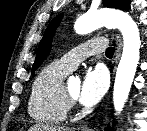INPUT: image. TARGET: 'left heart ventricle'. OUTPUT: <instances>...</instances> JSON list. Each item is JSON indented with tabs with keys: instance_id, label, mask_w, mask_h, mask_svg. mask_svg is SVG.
I'll list each match as a JSON object with an SVG mask.
<instances>
[{
	"instance_id": "b2bd125f",
	"label": "left heart ventricle",
	"mask_w": 147,
	"mask_h": 131,
	"mask_svg": "<svg viewBox=\"0 0 147 131\" xmlns=\"http://www.w3.org/2000/svg\"><path fill=\"white\" fill-rule=\"evenodd\" d=\"M80 82L78 80H72L66 84L68 91L72 96L75 98L78 97L79 90H80Z\"/></svg>"
}]
</instances>
